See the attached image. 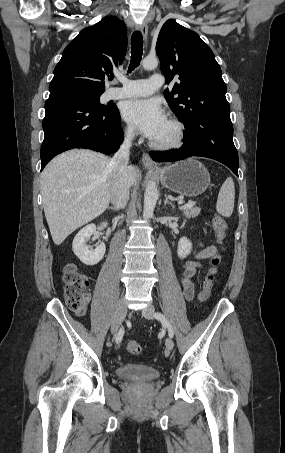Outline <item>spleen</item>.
I'll list each match as a JSON object with an SVG mask.
<instances>
[{
  "instance_id": "1",
  "label": "spleen",
  "mask_w": 285,
  "mask_h": 453,
  "mask_svg": "<svg viewBox=\"0 0 285 453\" xmlns=\"http://www.w3.org/2000/svg\"><path fill=\"white\" fill-rule=\"evenodd\" d=\"M235 188L231 177H228L220 188L216 211L223 217H230L234 209Z\"/></svg>"
}]
</instances>
